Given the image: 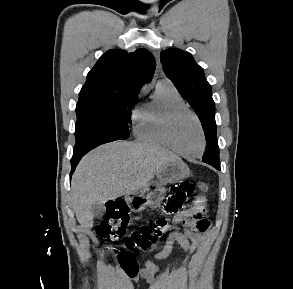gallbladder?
<instances>
[{"label": "gallbladder", "instance_id": "obj_1", "mask_svg": "<svg viewBox=\"0 0 293 289\" xmlns=\"http://www.w3.org/2000/svg\"><path fill=\"white\" fill-rule=\"evenodd\" d=\"M91 211L94 217L101 218L105 213L104 204L101 202H95L91 207Z\"/></svg>", "mask_w": 293, "mask_h": 289}]
</instances>
